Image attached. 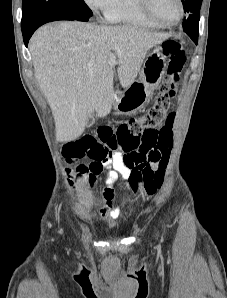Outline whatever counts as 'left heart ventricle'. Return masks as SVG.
I'll list each match as a JSON object with an SVG mask.
<instances>
[{
	"label": "left heart ventricle",
	"mask_w": 227,
	"mask_h": 298,
	"mask_svg": "<svg viewBox=\"0 0 227 298\" xmlns=\"http://www.w3.org/2000/svg\"><path fill=\"white\" fill-rule=\"evenodd\" d=\"M155 16L165 23L174 22L179 16L177 0H152Z\"/></svg>",
	"instance_id": "left-heart-ventricle-1"
}]
</instances>
